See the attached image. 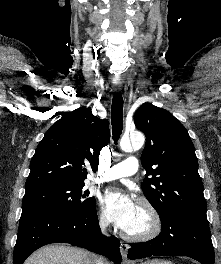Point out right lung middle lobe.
Here are the masks:
<instances>
[{"instance_id": "obj_1", "label": "right lung middle lobe", "mask_w": 221, "mask_h": 264, "mask_svg": "<svg viewBox=\"0 0 221 264\" xmlns=\"http://www.w3.org/2000/svg\"><path fill=\"white\" fill-rule=\"evenodd\" d=\"M85 184L48 183L26 189L22 212L42 211L61 214H80L95 207V198L83 191Z\"/></svg>"}]
</instances>
